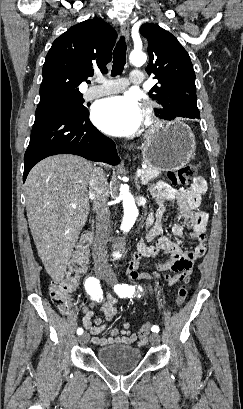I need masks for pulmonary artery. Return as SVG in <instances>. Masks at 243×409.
Returning <instances> with one entry per match:
<instances>
[{"label":"pulmonary artery","instance_id":"1","mask_svg":"<svg viewBox=\"0 0 243 409\" xmlns=\"http://www.w3.org/2000/svg\"><path fill=\"white\" fill-rule=\"evenodd\" d=\"M143 73L140 70H133L130 73V78L128 79H116L110 80L103 77H98L96 82L99 85L90 87L84 93V98L86 100H92L101 96L113 94L124 90L129 83L141 84L143 82Z\"/></svg>","mask_w":243,"mask_h":409}]
</instances>
